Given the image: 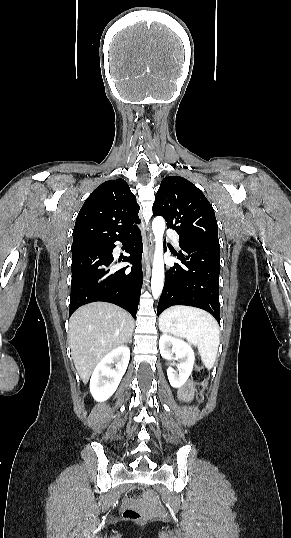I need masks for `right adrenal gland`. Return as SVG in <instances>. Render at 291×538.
Listing matches in <instances>:
<instances>
[{"instance_id": "2a0ac1e0", "label": "right adrenal gland", "mask_w": 291, "mask_h": 538, "mask_svg": "<svg viewBox=\"0 0 291 538\" xmlns=\"http://www.w3.org/2000/svg\"><path fill=\"white\" fill-rule=\"evenodd\" d=\"M132 342V337L129 339L128 343L130 344Z\"/></svg>"}]
</instances>
